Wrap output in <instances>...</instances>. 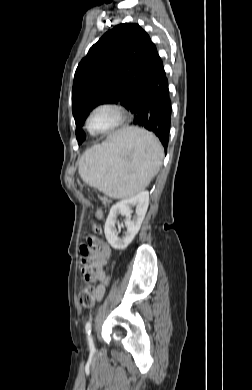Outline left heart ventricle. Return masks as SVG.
Segmentation results:
<instances>
[{
    "label": "left heart ventricle",
    "instance_id": "1",
    "mask_svg": "<svg viewBox=\"0 0 252 390\" xmlns=\"http://www.w3.org/2000/svg\"><path fill=\"white\" fill-rule=\"evenodd\" d=\"M115 116L108 110H101L94 114L91 124L97 130L108 128L114 122Z\"/></svg>",
    "mask_w": 252,
    "mask_h": 390
}]
</instances>
